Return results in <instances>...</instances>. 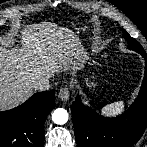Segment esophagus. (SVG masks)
<instances>
[{"mask_svg": "<svg viewBox=\"0 0 147 147\" xmlns=\"http://www.w3.org/2000/svg\"><path fill=\"white\" fill-rule=\"evenodd\" d=\"M69 90L68 88H61L60 92H59V98L62 101H68L69 100Z\"/></svg>", "mask_w": 147, "mask_h": 147, "instance_id": "34e87169", "label": "esophagus"}]
</instances>
